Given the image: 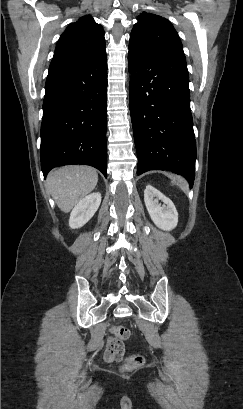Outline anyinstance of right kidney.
<instances>
[{
	"instance_id": "right-kidney-1",
	"label": "right kidney",
	"mask_w": 243,
	"mask_h": 409,
	"mask_svg": "<svg viewBox=\"0 0 243 409\" xmlns=\"http://www.w3.org/2000/svg\"><path fill=\"white\" fill-rule=\"evenodd\" d=\"M101 198V194L99 192H95L80 200L70 214V228L77 229L84 226L98 210L101 203Z\"/></svg>"
}]
</instances>
